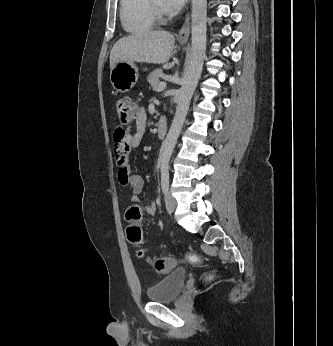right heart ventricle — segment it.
<instances>
[{"instance_id": "1", "label": "right heart ventricle", "mask_w": 333, "mask_h": 346, "mask_svg": "<svg viewBox=\"0 0 333 346\" xmlns=\"http://www.w3.org/2000/svg\"><path fill=\"white\" fill-rule=\"evenodd\" d=\"M120 20L125 31L141 33L154 26L149 0H120Z\"/></svg>"}]
</instances>
